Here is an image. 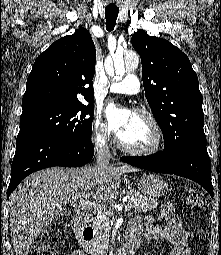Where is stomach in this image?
Masks as SVG:
<instances>
[{
	"instance_id": "1",
	"label": "stomach",
	"mask_w": 221,
	"mask_h": 255,
	"mask_svg": "<svg viewBox=\"0 0 221 255\" xmlns=\"http://www.w3.org/2000/svg\"><path fill=\"white\" fill-rule=\"evenodd\" d=\"M138 187L141 193L148 199H157L168 190V183L159 175L144 174L138 180Z\"/></svg>"
}]
</instances>
